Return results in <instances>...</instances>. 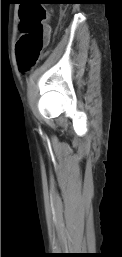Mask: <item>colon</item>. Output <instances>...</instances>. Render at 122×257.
<instances>
[{"label":"colon","instance_id":"5ec220e1","mask_svg":"<svg viewBox=\"0 0 122 257\" xmlns=\"http://www.w3.org/2000/svg\"><path fill=\"white\" fill-rule=\"evenodd\" d=\"M44 5H20L21 36L17 42V58L22 70L30 68L48 43L49 29Z\"/></svg>","mask_w":122,"mask_h":257}]
</instances>
